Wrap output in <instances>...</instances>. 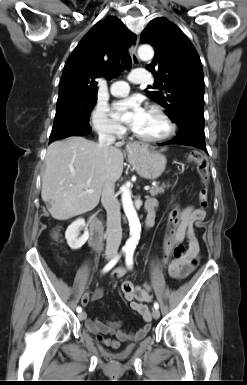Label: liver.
Instances as JSON below:
<instances>
[{
	"instance_id": "6515ba94",
	"label": "liver",
	"mask_w": 247,
	"mask_h": 385,
	"mask_svg": "<svg viewBox=\"0 0 247 385\" xmlns=\"http://www.w3.org/2000/svg\"><path fill=\"white\" fill-rule=\"evenodd\" d=\"M45 161L42 200L54 219L68 220L98 205L104 184L121 177L124 157L116 147L70 136L51 143Z\"/></svg>"
}]
</instances>
